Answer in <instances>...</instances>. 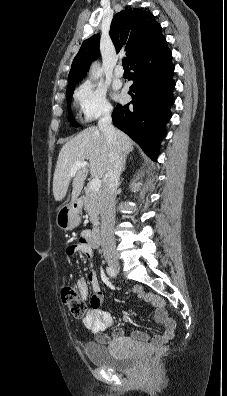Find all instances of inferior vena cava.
<instances>
[{
  "mask_svg": "<svg viewBox=\"0 0 227 396\" xmlns=\"http://www.w3.org/2000/svg\"><path fill=\"white\" fill-rule=\"evenodd\" d=\"M111 109L105 111L98 122L99 129L103 132L106 141L113 150L110 154L109 166L103 177L101 193V244L104 256L116 255V242L114 236L116 190L123 164V155L117 143L115 128L112 125Z\"/></svg>",
  "mask_w": 227,
  "mask_h": 396,
  "instance_id": "1",
  "label": "inferior vena cava"
}]
</instances>
